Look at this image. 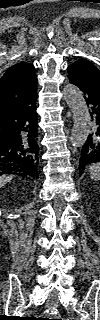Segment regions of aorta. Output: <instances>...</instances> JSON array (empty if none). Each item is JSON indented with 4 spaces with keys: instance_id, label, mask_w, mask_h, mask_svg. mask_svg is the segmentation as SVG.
I'll return each instance as SVG.
<instances>
[{
    "instance_id": "obj_1",
    "label": "aorta",
    "mask_w": 100,
    "mask_h": 320,
    "mask_svg": "<svg viewBox=\"0 0 100 320\" xmlns=\"http://www.w3.org/2000/svg\"><path fill=\"white\" fill-rule=\"evenodd\" d=\"M63 98L70 108L74 125L71 131L70 142L75 148L82 147L90 133L91 117L87 104L79 89L67 83L63 88Z\"/></svg>"
}]
</instances>
